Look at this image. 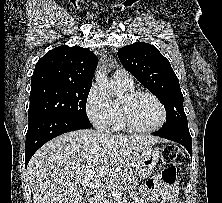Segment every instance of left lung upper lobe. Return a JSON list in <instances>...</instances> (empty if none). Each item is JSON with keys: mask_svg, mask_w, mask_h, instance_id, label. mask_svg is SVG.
I'll return each mask as SVG.
<instances>
[{"mask_svg": "<svg viewBox=\"0 0 222 203\" xmlns=\"http://www.w3.org/2000/svg\"><path fill=\"white\" fill-rule=\"evenodd\" d=\"M117 54L123 66L163 103L166 123L161 129L188 130L179 80L159 50L148 43L137 42L122 47Z\"/></svg>", "mask_w": 222, "mask_h": 203, "instance_id": "obj_1", "label": "left lung upper lobe"}]
</instances>
